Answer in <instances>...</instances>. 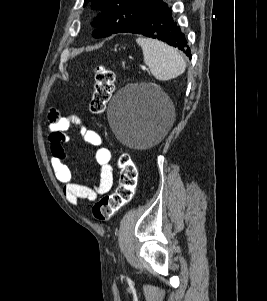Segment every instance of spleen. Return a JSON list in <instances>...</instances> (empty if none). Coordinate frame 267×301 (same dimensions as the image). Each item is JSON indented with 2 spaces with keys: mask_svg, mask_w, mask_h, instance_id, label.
<instances>
[{
  "mask_svg": "<svg viewBox=\"0 0 267 301\" xmlns=\"http://www.w3.org/2000/svg\"><path fill=\"white\" fill-rule=\"evenodd\" d=\"M136 42L142 48L145 64L156 79L166 81L185 72V60L173 47L147 38H138Z\"/></svg>",
  "mask_w": 267,
  "mask_h": 301,
  "instance_id": "spleen-1",
  "label": "spleen"
}]
</instances>
